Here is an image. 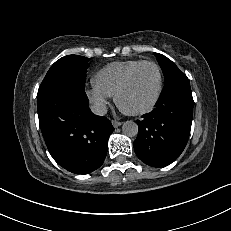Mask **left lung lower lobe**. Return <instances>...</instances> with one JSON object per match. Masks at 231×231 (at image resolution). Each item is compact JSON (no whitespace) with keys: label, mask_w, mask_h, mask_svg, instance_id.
<instances>
[{"label":"left lung lower lobe","mask_w":231,"mask_h":231,"mask_svg":"<svg viewBox=\"0 0 231 231\" xmlns=\"http://www.w3.org/2000/svg\"><path fill=\"white\" fill-rule=\"evenodd\" d=\"M193 97L187 76L182 73L166 82L156 108L137 120L134 141L138 158L152 167H164L184 150L192 123Z\"/></svg>","instance_id":"0a47b994"}]
</instances>
